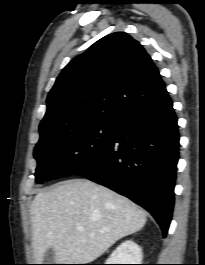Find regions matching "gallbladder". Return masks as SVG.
Instances as JSON below:
<instances>
[{
  "label": "gallbladder",
  "instance_id": "gallbladder-1",
  "mask_svg": "<svg viewBox=\"0 0 205 265\" xmlns=\"http://www.w3.org/2000/svg\"><path fill=\"white\" fill-rule=\"evenodd\" d=\"M54 259H55L54 250L52 248H48L43 257L44 264H52Z\"/></svg>",
  "mask_w": 205,
  "mask_h": 265
}]
</instances>
